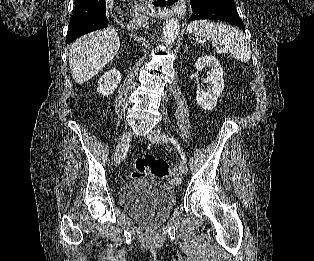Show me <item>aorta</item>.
Returning <instances> with one entry per match:
<instances>
[{"mask_svg":"<svg viewBox=\"0 0 314 261\" xmlns=\"http://www.w3.org/2000/svg\"><path fill=\"white\" fill-rule=\"evenodd\" d=\"M180 25L179 21L176 18H171L166 21V24L163 28V39L166 44H172L179 33Z\"/></svg>","mask_w":314,"mask_h":261,"instance_id":"762f6f07","label":"aorta"}]
</instances>
